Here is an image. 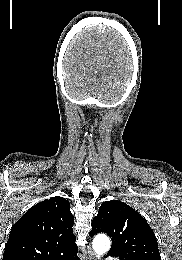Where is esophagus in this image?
<instances>
[{
  "mask_svg": "<svg viewBox=\"0 0 182 260\" xmlns=\"http://www.w3.org/2000/svg\"><path fill=\"white\" fill-rule=\"evenodd\" d=\"M88 259L89 260H95L94 253L92 251H89Z\"/></svg>",
  "mask_w": 182,
  "mask_h": 260,
  "instance_id": "obj_1",
  "label": "esophagus"
}]
</instances>
